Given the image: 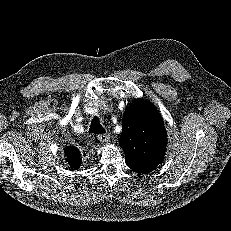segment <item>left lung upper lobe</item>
Segmentation results:
<instances>
[{
  "label": "left lung upper lobe",
  "mask_w": 231,
  "mask_h": 231,
  "mask_svg": "<svg viewBox=\"0 0 231 231\" xmlns=\"http://www.w3.org/2000/svg\"><path fill=\"white\" fill-rule=\"evenodd\" d=\"M119 139L127 165L138 173H148L163 162L167 132L162 117L148 101L135 100L126 108Z\"/></svg>",
  "instance_id": "obj_1"
}]
</instances>
